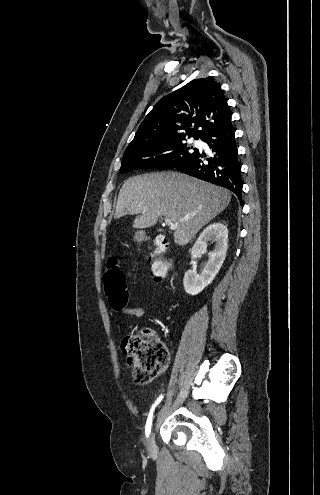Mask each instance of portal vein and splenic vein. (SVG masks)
Wrapping results in <instances>:
<instances>
[{"mask_svg": "<svg viewBox=\"0 0 320 495\" xmlns=\"http://www.w3.org/2000/svg\"><path fill=\"white\" fill-rule=\"evenodd\" d=\"M164 221L170 227V229L176 228V225L172 223V220L169 217H164Z\"/></svg>", "mask_w": 320, "mask_h": 495, "instance_id": "obj_1", "label": "portal vein and splenic vein"}]
</instances>
